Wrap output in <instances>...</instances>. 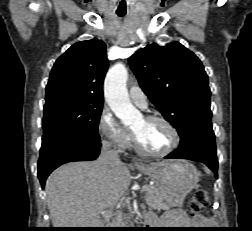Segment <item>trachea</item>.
Segmentation results:
<instances>
[{
    "instance_id": "3493384b",
    "label": "trachea",
    "mask_w": 252,
    "mask_h": 231,
    "mask_svg": "<svg viewBox=\"0 0 252 231\" xmlns=\"http://www.w3.org/2000/svg\"><path fill=\"white\" fill-rule=\"evenodd\" d=\"M125 12H117V15L119 16V17H123V16H125Z\"/></svg>"
}]
</instances>
